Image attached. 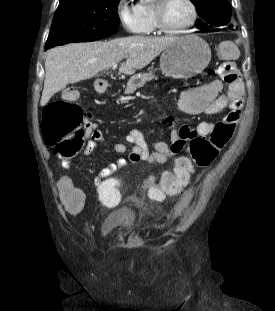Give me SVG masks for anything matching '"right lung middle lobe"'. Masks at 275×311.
<instances>
[{
	"label": "right lung middle lobe",
	"mask_w": 275,
	"mask_h": 311,
	"mask_svg": "<svg viewBox=\"0 0 275 311\" xmlns=\"http://www.w3.org/2000/svg\"><path fill=\"white\" fill-rule=\"evenodd\" d=\"M118 4L119 0H59L45 50L114 34L119 27Z\"/></svg>",
	"instance_id": "dd1d6c3e"
}]
</instances>
